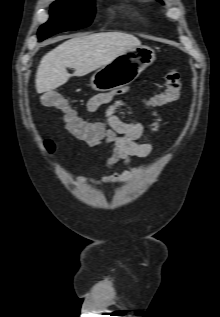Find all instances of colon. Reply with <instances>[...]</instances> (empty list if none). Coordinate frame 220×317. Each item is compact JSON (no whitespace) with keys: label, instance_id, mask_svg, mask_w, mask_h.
<instances>
[{"label":"colon","instance_id":"5ec220e1","mask_svg":"<svg viewBox=\"0 0 220 317\" xmlns=\"http://www.w3.org/2000/svg\"><path fill=\"white\" fill-rule=\"evenodd\" d=\"M181 82L179 73L176 70H170L166 75L165 89L156 94L151 104L154 106H164L176 102L181 96ZM41 102L50 108L59 110L63 114V119L71 130L84 129V122L78 118L75 112L70 108L64 96L53 90H46L41 94ZM43 147L48 153L55 151L56 145L51 139H44Z\"/></svg>","mask_w":220,"mask_h":317}]
</instances>
